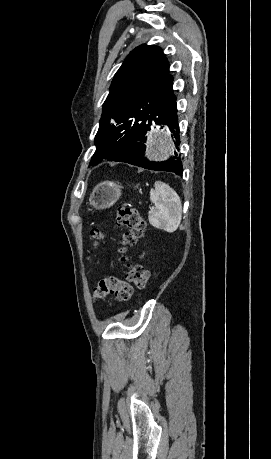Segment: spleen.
I'll return each mask as SVG.
<instances>
[{"label": "spleen", "instance_id": "3e777b00", "mask_svg": "<svg viewBox=\"0 0 271 459\" xmlns=\"http://www.w3.org/2000/svg\"><path fill=\"white\" fill-rule=\"evenodd\" d=\"M155 190L150 192V200L155 204L154 210L149 212V222L154 228L165 229V231H176L182 220V206L176 192L164 184L155 182Z\"/></svg>", "mask_w": 271, "mask_h": 459}]
</instances>
